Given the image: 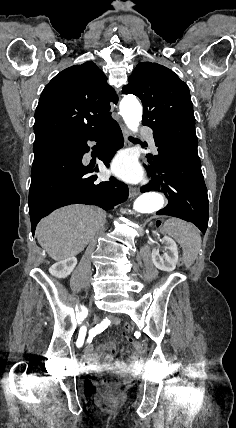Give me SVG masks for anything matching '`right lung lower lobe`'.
Here are the masks:
<instances>
[{
  "label": "right lung lower lobe",
  "mask_w": 236,
  "mask_h": 428,
  "mask_svg": "<svg viewBox=\"0 0 236 428\" xmlns=\"http://www.w3.org/2000/svg\"><path fill=\"white\" fill-rule=\"evenodd\" d=\"M51 151L34 157L29 189V214L34 235L37 223L57 208L70 204L96 205L113 209L128 198V187L111 177L98 182L92 172L98 167L84 166L87 141H96L98 158L108 167L124 139L118 123L108 122L86 133L59 138ZM94 153V152H92Z\"/></svg>",
  "instance_id": "1"
}]
</instances>
